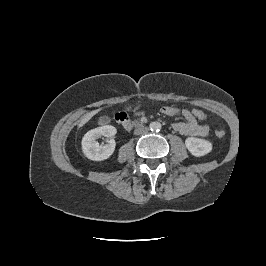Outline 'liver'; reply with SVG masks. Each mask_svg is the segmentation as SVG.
Here are the masks:
<instances>
[{"instance_id":"1","label":"liver","mask_w":266,"mask_h":266,"mask_svg":"<svg viewBox=\"0 0 266 266\" xmlns=\"http://www.w3.org/2000/svg\"><path fill=\"white\" fill-rule=\"evenodd\" d=\"M102 109H97V110H93L89 113H87L82 120L80 121L78 127H82L83 125H85L95 114H97L99 111H101Z\"/></svg>"}]
</instances>
